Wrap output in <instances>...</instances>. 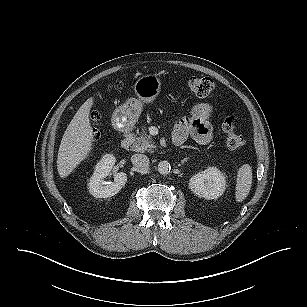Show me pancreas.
Listing matches in <instances>:
<instances>
[{
	"label": "pancreas",
	"instance_id": "cf45deb5",
	"mask_svg": "<svg viewBox=\"0 0 307 307\" xmlns=\"http://www.w3.org/2000/svg\"><path fill=\"white\" fill-rule=\"evenodd\" d=\"M138 136H135L132 150L135 152H154L155 145L152 137L146 133V129L142 128V132H137Z\"/></svg>",
	"mask_w": 307,
	"mask_h": 307
}]
</instances>
